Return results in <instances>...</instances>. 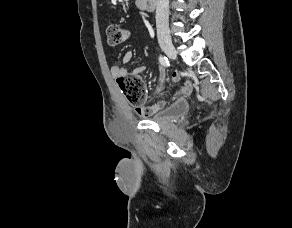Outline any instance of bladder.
<instances>
[{
  "mask_svg": "<svg viewBox=\"0 0 292 228\" xmlns=\"http://www.w3.org/2000/svg\"><path fill=\"white\" fill-rule=\"evenodd\" d=\"M188 111V103L184 100H181L172 105L166 112L152 116L150 120L158 124L175 121L185 116Z\"/></svg>",
  "mask_w": 292,
  "mask_h": 228,
  "instance_id": "obj_1",
  "label": "bladder"
}]
</instances>
